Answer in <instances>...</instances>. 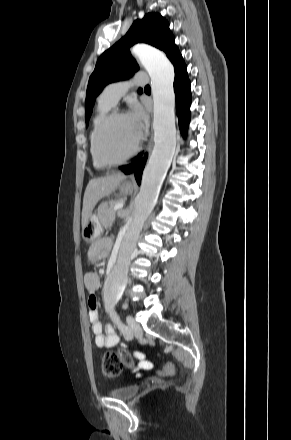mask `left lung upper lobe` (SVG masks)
<instances>
[{
  "mask_svg": "<svg viewBox=\"0 0 291 440\" xmlns=\"http://www.w3.org/2000/svg\"><path fill=\"white\" fill-rule=\"evenodd\" d=\"M139 42L163 50L171 62L180 55L169 23L160 14L147 13L143 19L134 21L126 35L99 57L89 78L85 100L86 124L102 89L111 82L128 79L138 71V64L130 55L129 48Z\"/></svg>",
  "mask_w": 291,
  "mask_h": 440,
  "instance_id": "5c2ea615",
  "label": "left lung upper lobe"
}]
</instances>
